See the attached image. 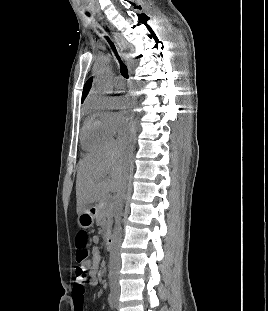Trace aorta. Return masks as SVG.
Instances as JSON below:
<instances>
[{"label": "aorta", "instance_id": "1", "mask_svg": "<svg viewBox=\"0 0 268 311\" xmlns=\"http://www.w3.org/2000/svg\"><path fill=\"white\" fill-rule=\"evenodd\" d=\"M99 70L103 74V73H105L107 71V67L106 66H100ZM105 86H106L105 82L104 81H100L99 85H98V89L102 91V90L105 89Z\"/></svg>", "mask_w": 268, "mask_h": 311}]
</instances>
